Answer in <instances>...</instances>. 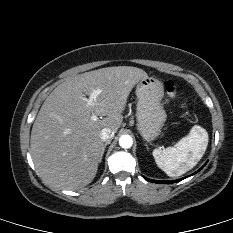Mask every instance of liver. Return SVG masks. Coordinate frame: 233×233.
Listing matches in <instances>:
<instances>
[{"label":"liver","instance_id":"liver-1","mask_svg":"<svg viewBox=\"0 0 233 233\" xmlns=\"http://www.w3.org/2000/svg\"><path fill=\"white\" fill-rule=\"evenodd\" d=\"M146 77L137 67H107L68 77L51 92L30 139L34 165L47 184L77 190L92 182L104 149L101 130L118 131L131 90ZM95 90L100 93L90 106L84 95ZM93 114L101 118L94 121Z\"/></svg>","mask_w":233,"mask_h":233}]
</instances>
